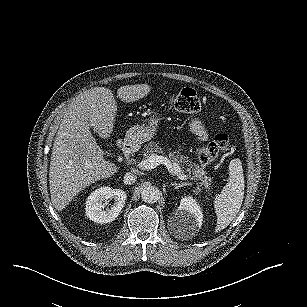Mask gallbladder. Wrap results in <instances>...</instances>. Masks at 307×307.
Segmentation results:
<instances>
[{
  "label": "gallbladder",
  "mask_w": 307,
  "mask_h": 307,
  "mask_svg": "<svg viewBox=\"0 0 307 307\" xmlns=\"http://www.w3.org/2000/svg\"><path fill=\"white\" fill-rule=\"evenodd\" d=\"M104 154H105L106 156H109V153H108V151H105V152H104Z\"/></svg>",
  "instance_id": "gallbladder-1"
}]
</instances>
